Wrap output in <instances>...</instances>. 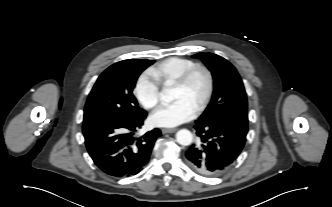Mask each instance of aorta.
I'll return each mask as SVG.
<instances>
[{
    "label": "aorta",
    "mask_w": 332,
    "mask_h": 207,
    "mask_svg": "<svg viewBox=\"0 0 332 207\" xmlns=\"http://www.w3.org/2000/svg\"><path fill=\"white\" fill-rule=\"evenodd\" d=\"M161 99L166 102H171L174 100V95L172 90H167L161 95ZM176 140L180 145L188 146L193 141L192 133L187 129H181L176 133Z\"/></svg>",
    "instance_id": "aorta-1"
}]
</instances>
